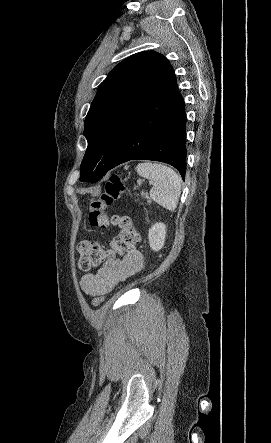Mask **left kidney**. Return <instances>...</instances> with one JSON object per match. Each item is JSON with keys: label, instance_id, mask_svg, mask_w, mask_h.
<instances>
[{"label": "left kidney", "instance_id": "5707ae66", "mask_svg": "<svg viewBox=\"0 0 271 443\" xmlns=\"http://www.w3.org/2000/svg\"><path fill=\"white\" fill-rule=\"evenodd\" d=\"M149 245L154 251H159L165 243L166 225L165 223H154L149 229Z\"/></svg>", "mask_w": 271, "mask_h": 443}]
</instances>
